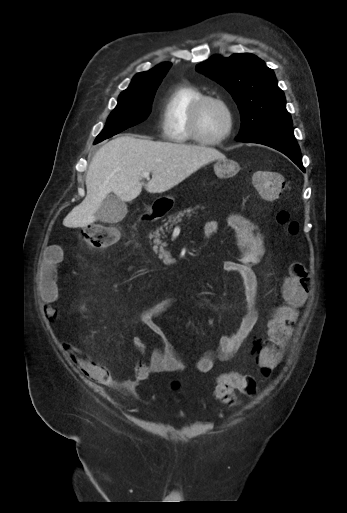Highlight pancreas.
Segmentation results:
<instances>
[{
	"label": "pancreas",
	"mask_w": 347,
	"mask_h": 513,
	"mask_svg": "<svg viewBox=\"0 0 347 513\" xmlns=\"http://www.w3.org/2000/svg\"><path fill=\"white\" fill-rule=\"evenodd\" d=\"M195 209L196 208H187L183 211H179L175 214L167 216V218L165 219V223L153 232V250L156 254L159 255L160 258H165L168 255V252L164 250V247H166L167 244L166 242H162V240H160V236L164 234L165 231H168V229L172 228L174 225L178 224L179 222H182L185 216L189 219L192 216V214L195 213Z\"/></svg>",
	"instance_id": "cf45deb5"
}]
</instances>
